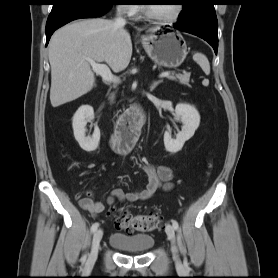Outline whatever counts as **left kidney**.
Masks as SVG:
<instances>
[{"mask_svg": "<svg viewBox=\"0 0 278 278\" xmlns=\"http://www.w3.org/2000/svg\"><path fill=\"white\" fill-rule=\"evenodd\" d=\"M176 119L183 123L182 130L173 139L171 134L164 133V146L168 152L176 153L180 151L184 143L189 140L200 124V115L197 109L189 104L179 103L175 108Z\"/></svg>", "mask_w": 278, "mask_h": 278, "instance_id": "1", "label": "left kidney"}]
</instances>
